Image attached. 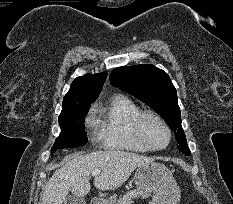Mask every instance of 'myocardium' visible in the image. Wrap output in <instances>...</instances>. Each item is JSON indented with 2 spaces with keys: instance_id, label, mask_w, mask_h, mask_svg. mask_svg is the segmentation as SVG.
Listing matches in <instances>:
<instances>
[{
  "instance_id": "1",
  "label": "myocardium",
  "mask_w": 233,
  "mask_h": 204,
  "mask_svg": "<svg viewBox=\"0 0 233 204\" xmlns=\"http://www.w3.org/2000/svg\"><path fill=\"white\" fill-rule=\"evenodd\" d=\"M147 118H153L157 120L165 128L168 138L164 146L154 147L147 141L144 135V132H143V124ZM132 130L138 143L141 146H143L145 149H147L148 151L164 150L169 146L171 139H172V132L167 122L159 114H157L154 111H150V110L142 111L134 118L132 122Z\"/></svg>"
}]
</instances>
